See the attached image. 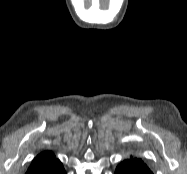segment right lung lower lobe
<instances>
[{
	"label": "right lung lower lobe",
	"instance_id": "right-lung-lower-lobe-1",
	"mask_svg": "<svg viewBox=\"0 0 187 174\" xmlns=\"http://www.w3.org/2000/svg\"><path fill=\"white\" fill-rule=\"evenodd\" d=\"M57 174H65L64 169H62L60 172H58Z\"/></svg>",
	"mask_w": 187,
	"mask_h": 174
}]
</instances>
